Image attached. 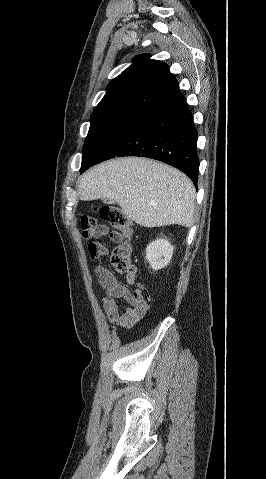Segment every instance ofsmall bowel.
Wrapping results in <instances>:
<instances>
[{
    "label": "small bowel",
    "mask_w": 266,
    "mask_h": 479,
    "mask_svg": "<svg viewBox=\"0 0 266 479\" xmlns=\"http://www.w3.org/2000/svg\"><path fill=\"white\" fill-rule=\"evenodd\" d=\"M98 238H109L113 241H120L121 235L114 231L105 230L96 235ZM100 259V258H98ZM97 279L105 290V296L101 303L108 321L119 328H129L142 318L149 309V304L145 300L141 287L134 292L121 285L112 273L101 263L96 267ZM127 281L130 285H136L135 270L128 275ZM123 299L128 306L121 309L118 300Z\"/></svg>",
    "instance_id": "obj_1"
}]
</instances>
